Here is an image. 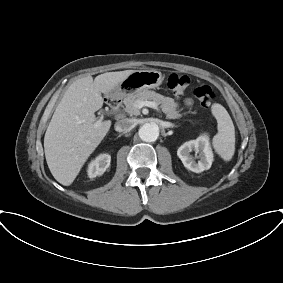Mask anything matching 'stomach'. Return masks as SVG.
I'll return each mask as SVG.
<instances>
[{
    "mask_svg": "<svg viewBox=\"0 0 283 283\" xmlns=\"http://www.w3.org/2000/svg\"><path fill=\"white\" fill-rule=\"evenodd\" d=\"M164 77L160 71L151 70H136L130 74L122 83L115 89V93L124 96L134 94L143 90L155 89L162 84Z\"/></svg>",
    "mask_w": 283,
    "mask_h": 283,
    "instance_id": "stomach-1",
    "label": "stomach"
}]
</instances>
